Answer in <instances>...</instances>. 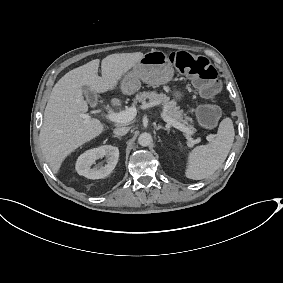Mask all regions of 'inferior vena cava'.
<instances>
[{"label": "inferior vena cava", "instance_id": "inferior-vena-cava-1", "mask_svg": "<svg viewBox=\"0 0 283 283\" xmlns=\"http://www.w3.org/2000/svg\"><path fill=\"white\" fill-rule=\"evenodd\" d=\"M129 130H130L129 127H121V128H115L113 132L118 136H123L126 135L129 132Z\"/></svg>", "mask_w": 283, "mask_h": 283}]
</instances>
